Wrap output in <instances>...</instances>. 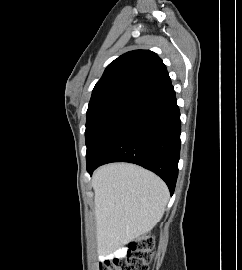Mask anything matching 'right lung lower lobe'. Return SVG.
I'll use <instances>...</instances> for the list:
<instances>
[{"mask_svg":"<svg viewBox=\"0 0 242 270\" xmlns=\"http://www.w3.org/2000/svg\"><path fill=\"white\" fill-rule=\"evenodd\" d=\"M181 121L171 85L137 104L99 150L87 171L99 165L130 162L151 170L167 184L171 195L178 176Z\"/></svg>","mask_w":242,"mask_h":270,"instance_id":"right-lung-lower-lobe-1","label":"right lung lower lobe"}]
</instances>
